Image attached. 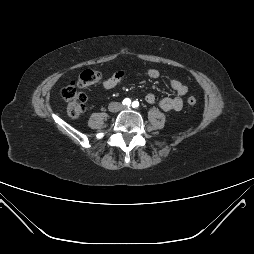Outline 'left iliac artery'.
I'll list each match as a JSON object with an SVG mask.
<instances>
[{
	"label": "left iliac artery",
	"instance_id": "1",
	"mask_svg": "<svg viewBox=\"0 0 254 254\" xmlns=\"http://www.w3.org/2000/svg\"><path fill=\"white\" fill-rule=\"evenodd\" d=\"M138 106H139V102L138 101H134L132 103V107L137 108Z\"/></svg>",
	"mask_w": 254,
	"mask_h": 254
}]
</instances>
